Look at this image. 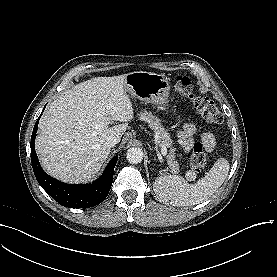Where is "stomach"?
Instances as JSON below:
<instances>
[{"mask_svg": "<svg viewBox=\"0 0 277 277\" xmlns=\"http://www.w3.org/2000/svg\"><path fill=\"white\" fill-rule=\"evenodd\" d=\"M124 88L131 96L157 105L165 110L168 103L170 83L163 74L147 71H134L126 75Z\"/></svg>", "mask_w": 277, "mask_h": 277, "instance_id": "0dacf381", "label": "stomach"}]
</instances>
